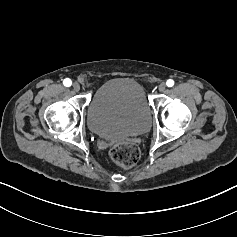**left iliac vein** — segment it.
I'll list each match as a JSON object with an SVG mask.
<instances>
[{
    "instance_id": "4c4485c4",
    "label": "left iliac vein",
    "mask_w": 237,
    "mask_h": 237,
    "mask_svg": "<svg viewBox=\"0 0 237 237\" xmlns=\"http://www.w3.org/2000/svg\"><path fill=\"white\" fill-rule=\"evenodd\" d=\"M158 90L160 92H164L166 90V84L164 82H162L159 87H158Z\"/></svg>"
}]
</instances>
